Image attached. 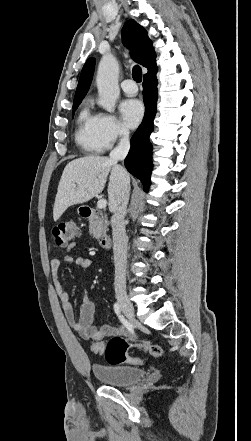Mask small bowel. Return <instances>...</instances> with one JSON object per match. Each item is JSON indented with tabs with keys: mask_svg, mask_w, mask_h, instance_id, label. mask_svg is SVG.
<instances>
[{
	"mask_svg": "<svg viewBox=\"0 0 251 441\" xmlns=\"http://www.w3.org/2000/svg\"><path fill=\"white\" fill-rule=\"evenodd\" d=\"M63 262L75 263L82 269H89L92 266V261L83 256L75 257L72 253H67L62 259L54 258L50 261V272L53 286L61 302V308L69 326L78 332L83 339L94 342H100V340L107 337L128 336V331L125 326L103 325L101 327H96L93 324L95 306L92 300L85 293L81 294L79 317H75L73 307L70 302V295L63 288L59 280V270Z\"/></svg>",
	"mask_w": 251,
	"mask_h": 441,
	"instance_id": "obj_1",
	"label": "small bowel"
}]
</instances>
